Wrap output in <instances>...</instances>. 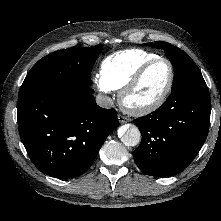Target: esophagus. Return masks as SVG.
<instances>
[{"mask_svg": "<svg viewBox=\"0 0 221 221\" xmlns=\"http://www.w3.org/2000/svg\"><path fill=\"white\" fill-rule=\"evenodd\" d=\"M118 120L121 124L128 122V118L123 115H118Z\"/></svg>", "mask_w": 221, "mask_h": 221, "instance_id": "esophagus-1", "label": "esophagus"}]
</instances>
